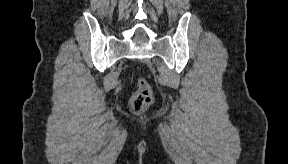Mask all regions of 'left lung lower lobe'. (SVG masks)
Returning <instances> with one entry per match:
<instances>
[{"label": "left lung lower lobe", "instance_id": "1", "mask_svg": "<svg viewBox=\"0 0 288 164\" xmlns=\"http://www.w3.org/2000/svg\"><path fill=\"white\" fill-rule=\"evenodd\" d=\"M253 88L250 91L252 98L260 102L264 97V89L267 84L266 76L262 72H252Z\"/></svg>", "mask_w": 288, "mask_h": 164}]
</instances>
